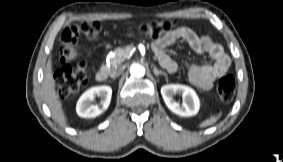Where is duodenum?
<instances>
[{"mask_svg": "<svg viewBox=\"0 0 283 162\" xmlns=\"http://www.w3.org/2000/svg\"><path fill=\"white\" fill-rule=\"evenodd\" d=\"M108 78V70L105 67H101L96 73V80L104 82Z\"/></svg>", "mask_w": 283, "mask_h": 162, "instance_id": "duodenum-1", "label": "duodenum"}]
</instances>
